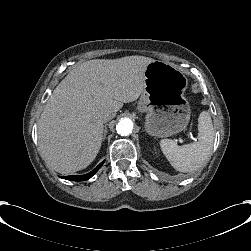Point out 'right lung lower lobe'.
I'll return each mask as SVG.
<instances>
[{
  "label": "right lung lower lobe",
  "mask_w": 251,
  "mask_h": 251,
  "mask_svg": "<svg viewBox=\"0 0 251 251\" xmlns=\"http://www.w3.org/2000/svg\"><path fill=\"white\" fill-rule=\"evenodd\" d=\"M104 161L101 162L94 170L84 175H72V176H61V178L71 181H85L90 179L103 165Z\"/></svg>",
  "instance_id": "98d812e1"
}]
</instances>
